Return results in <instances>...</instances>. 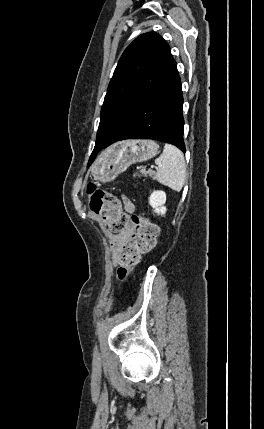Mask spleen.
I'll list each match as a JSON object with an SVG mask.
<instances>
[{"instance_id": "spleen-1", "label": "spleen", "mask_w": 264, "mask_h": 429, "mask_svg": "<svg viewBox=\"0 0 264 429\" xmlns=\"http://www.w3.org/2000/svg\"><path fill=\"white\" fill-rule=\"evenodd\" d=\"M158 165L156 179L174 191H181L186 179L183 153L174 145L165 144L163 153L155 160Z\"/></svg>"}]
</instances>
